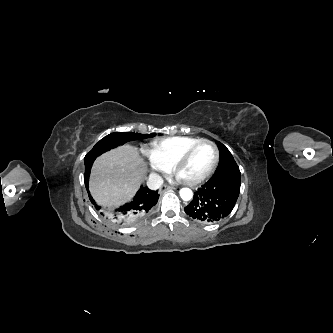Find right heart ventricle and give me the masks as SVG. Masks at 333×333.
Instances as JSON below:
<instances>
[{"label":"right heart ventricle","mask_w":333,"mask_h":333,"mask_svg":"<svg viewBox=\"0 0 333 333\" xmlns=\"http://www.w3.org/2000/svg\"><path fill=\"white\" fill-rule=\"evenodd\" d=\"M199 140L189 136L166 137L153 142L152 151L167 169H171L177 158Z\"/></svg>","instance_id":"1"}]
</instances>
